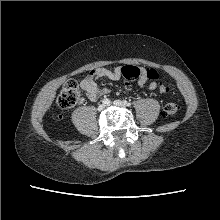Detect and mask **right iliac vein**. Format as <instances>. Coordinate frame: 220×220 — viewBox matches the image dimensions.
Wrapping results in <instances>:
<instances>
[{"mask_svg": "<svg viewBox=\"0 0 220 220\" xmlns=\"http://www.w3.org/2000/svg\"><path fill=\"white\" fill-rule=\"evenodd\" d=\"M105 104H100L99 106H98V111H102L104 108H105Z\"/></svg>", "mask_w": 220, "mask_h": 220, "instance_id": "63e3f726", "label": "right iliac vein"}]
</instances>
